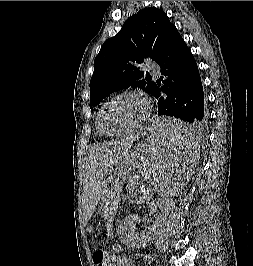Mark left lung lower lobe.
Listing matches in <instances>:
<instances>
[{
	"label": "left lung lower lobe",
	"instance_id": "obj_1",
	"mask_svg": "<svg viewBox=\"0 0 253 266\" xmlns=\"http://www.w3.org/2000/svg\"><path fill=\"white\" fill-rule=\"evenodd\" d=\"M163 85L155 83L153 96L158 99V115L177 118L173 125L157 127L168 140L195 141L207 124L204 92L197 63L176 27L157 62Z\"/></svg>",
	"mask_w": 253,
	"mask_h": 266
}]
</instances>
